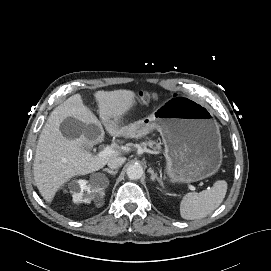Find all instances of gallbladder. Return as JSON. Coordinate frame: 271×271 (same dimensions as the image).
<instances>
[{"label":"gallbladder","instance_id":"obj_1","mask_svg":"<svg viewBox=\"0 0 271 271\" xmlns=\"http://www.w3.org/2000/svg\"><path fill=\"white\" fill-rule=\"evenodd\" d=\"M60 131L62 135L69 139H78L81 135L85 137H90L91 133L99 134L101 132L100 128L96 124H83L82 122L74 118H66L60 125Z\"/></svg>","mask_w":271,"mask_h":271}]
</instances>
